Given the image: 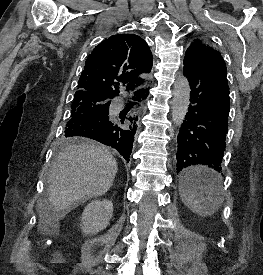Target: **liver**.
I'll list each match as a JSON object with an SVG mask.
<instances>
[{
  "mask_svg": "<svg viewBox=\"0 0 263 275\" xmlns=\"http://www.w3.org/2000/svg\"><path fill=\"white\" fill-rule=\"evenodd\" d=\"M118 165L104 147L83 142L69 146L52 164L47 201L39 203V227L58 228L78 202L104 195L112 186Z\"/></svg>",
  "mask_w": 263,
  "mask_h": 275,
  "instance_id": "obj_1",
  "label": "liver"
}]
</instances>
